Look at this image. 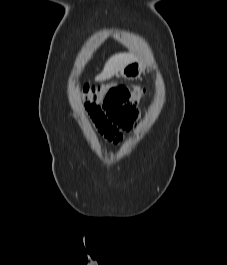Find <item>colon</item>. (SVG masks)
Returning <instances> with one entry per match:
<instances>
[{"mask_svg":"<svg viewBox=\"0 0 227 265\" xmlns=\"http://www.w3.org/2000/svg\"><path fill=\"white\" fill-rule=\"evenodd\" d=\"M80 92L85 102H100L106 116L121 130L134 125L138 116L136 105L145 94L143 88L122 82L84 85Z\"/></svg>","mask_w":227,"mask_h":265,"instance_id":"colon-1","label":"colon"}]
</instances>
